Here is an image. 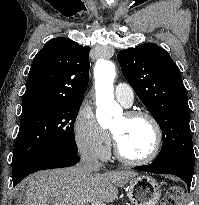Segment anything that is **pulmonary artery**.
Segmentation results:
<instances>
[{
  "mask_svg": "<svg viewBox=\"0 0 199 205\" xmlns=\"http://www.w3.org/2000/svg\"><path fill=\"white\" fill-rule=\"evenodd\" d=\"M116 99L125 107L132 105L134 101V91L129 84L119 83L115 89Z\"/></svg>",
  "mask_w": 199,
  "mask_h": 205,
  "instance_id": "1",
  "label": "pulmonary artery"
}]
</instances>
